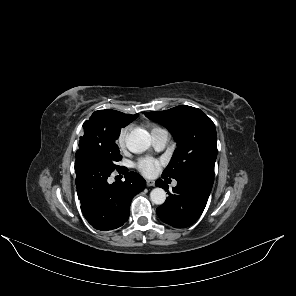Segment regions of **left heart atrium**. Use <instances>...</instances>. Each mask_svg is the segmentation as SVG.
Masks as SVG:
<instances>
[{"instance_id":"obj_1","label":"left heart atrium","mask_w":296,"mask_h":296,"mask_svg":"<svg viewBox=\"0 0 296 296\" xmlns=\"http://www.w3.org/2000/svg\"><path fill=\"white\" fill-rule=\"evenodd\" d=\"M163 164V161L152 158V157H142L135 163L136 169L141 172L146 177H155Z\"/></svg>"}]
</instances>
